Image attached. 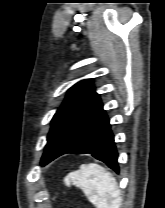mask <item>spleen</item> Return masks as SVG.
<instances>
[{"label":"spleen","instance_id":"3e777b00","mask_svg":"<svg viewBox=\"0 0 165 208\" xmlns=\"http://www.w3.org/2000/svg\"><path fill=\"white\" fill-rule=\"evenodd\" d=\"M64 183L81 189L96 208H120L122 199L116 179L98 164L81 165L64 178Z\"/></svg>","mask_w":165,"mask_h":208}]
</instances>
